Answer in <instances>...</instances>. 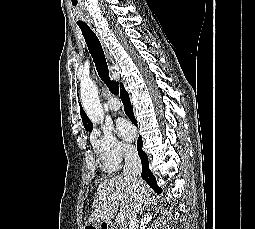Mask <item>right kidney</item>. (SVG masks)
<instances>
[{"instance_id": "obj_1", "label": "right kidney", "mask_w": 255, "mask_h": 229, "mask_svg": "<svg viewBox=\"0 0 255 229\" xmlns=\"http://www.w3.org/2000/svg\"><path fill=\"white\" fill-rule=\"evenodd\" d=\"M152 220V214L146 213L140 222V229H145L146 225Z\"/></svg>"}]
</instances>
